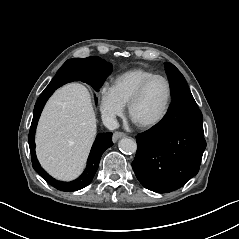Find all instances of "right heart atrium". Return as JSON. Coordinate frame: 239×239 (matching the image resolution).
Segmentation results:
<instances>
[{
  "label": "right heart atrium",
  "mask_w": 239,
  "mask_h": 239,
  "mask_svg": "<svg viewBox=\"0 0 239 239\" xmlns=\"http://www.w3.org/2000/svg\"><path fill=\"white\" fill-rule=\"evenodd\" d=\"M99 109L102 117L112 121L124 112V106L114 96L109 86H102L99 89Z\"/></svg>",
  "instance_id": "right-heart-atrium-1"
}]
</instances>
